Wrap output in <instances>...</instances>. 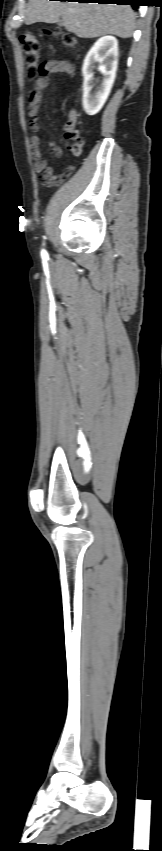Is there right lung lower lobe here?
<instances>
[{
    "label": "right lung lower lobe",
    "instance_id": "1",
    "mask_svg": "<svg viewBox=\"0 0 162 851\" xmlns=\"http://www.w3.org/2000/svg\"><path fill=\"white\" fill-rule=\"evenodd\" d=\"M60 1H78V2L99 3V4L137 5V6H139V2H140V0H60Z\"/></svg>",
    "mask_w": 162,
    "mask_h": 851
}]
</instances>
